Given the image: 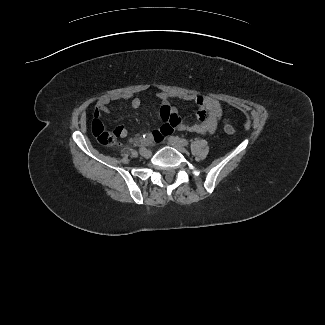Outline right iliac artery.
<instances>
[{"mask_svg":"<svg viewBox=\"0 0 325 325\" xmlns=\"http://www.w3.org/2000/svg\"><path fill=\"white\" fill-rule=\"evenodd\" d=\"M145 149H146L145 147L141 146L139 149L140 153L143 152Z\"/></svg>","mask_w":325,"mask_h":325,"instance_id":"82829eb1","label":"right iliac artery"}]
</instances>
